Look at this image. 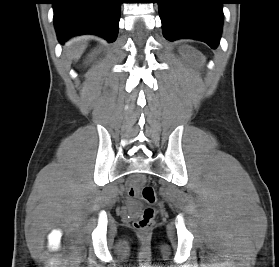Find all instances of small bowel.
Returning a JSON list of instances; mask_svg holds the SVG:
<instances>
[{
    "mask_svg": "<svg viewBox=\"0 0 279 267\" xmlns=\"http://www.w3.org/2000/svg\"><path fill=\"white\" fill-rule=\"evenodd\" d=\"M138 184H139V178H136V179H132L130 182H129V195L130 196H134L135 192H136V189L138 187Z\"/></svg>",
    "mask_w": 279,
    "mask_h": 267,
    "instance_id": "1",
    "label": "small bowel"
}]
</instances>
